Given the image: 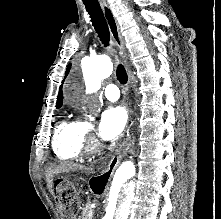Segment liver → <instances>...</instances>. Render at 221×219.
Returning <instances> with one entry per match:
<instances>
[{
    "label": "liver",
    "instance_id": "obj_1",
    "mask_svg": "<svg viewBox=\"0 0 221 219\" xmlns=\"http://www.w3.org/2000/svg\"><path fill=\"white\" fill-rule=\"evenodd\" d=\"M86 166L73 164V163H62L60 165L50 166L47 169L46 179H47V186L51 193H53V177L54 175L61 174V173H68L77 170H87Z\"/></svg>",
    "mask_w": 221,
    "mask_h": 219
}]
</instances>
